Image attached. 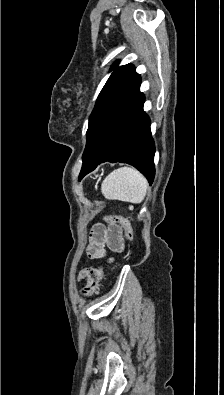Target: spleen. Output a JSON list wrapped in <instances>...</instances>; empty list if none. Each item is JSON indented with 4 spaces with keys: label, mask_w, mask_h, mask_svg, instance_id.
Returning a JSON list of instances; mask_svg holds the SVG:
<instances>
[{
    "label": "spleen",
    "mask_w": 224,
    "mask_h": 395,
    "mask_svg": "<svg viewBox=\"0 0 224 395\" xmlns=\"http://www.w3.org/2000/svg\"><path fill=\"white\" fill-rule=\"evenodd\" d=\"M148 182L133 167L112 171L102 182L101 192L106 199L141 203L146 195Z\"/></svg>",
    "instance_id": "spleen-1"
}]
</instances>
